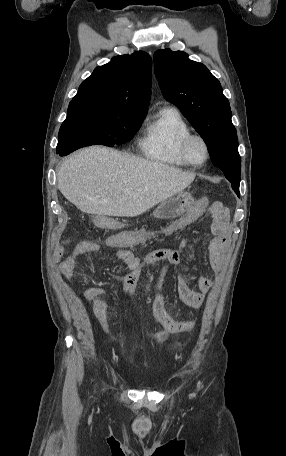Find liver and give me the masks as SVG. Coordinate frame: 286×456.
<instances>
[{
	"label": "liver",
	"instance_id": "1",
	"mask_svg": "<svg viewBox=\"0 0 286 456\" xmlns=\"http://www.w3.org/2000/svg\"><path fill=\"white\" fill-rule=\"evenodd\" d=\"M195 173L114 149L92 146L64 160L58 189L88 214L135 217L181 192Z\"/></svg>",
	"mask_w": 286,
	"mask_h": 456
}]
</instances>
